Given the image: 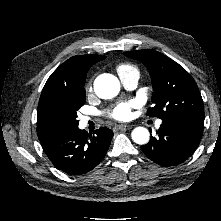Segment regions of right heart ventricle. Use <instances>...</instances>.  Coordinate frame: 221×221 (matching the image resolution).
<instances>
[{
	"label": "right heart ventricle",
	"instance_id": "1",
	"mask_svg": "<svg viewBox=\"0 0 221 221\" xmlns=\"http://www.w3.org/2000/svg\"><path fill=\"white\" fill-rule=\"evenodd\" d=\"M118 73H126V72H130V71H137V69L135 67H133L132 65L129 64H122L119 65L117 68Z\"/></svg>",
	"mask_w": 221,
	"mask_h": 221
}]
</instances>
